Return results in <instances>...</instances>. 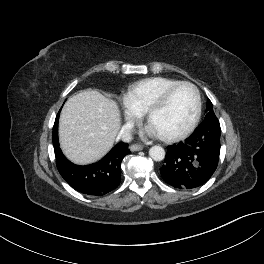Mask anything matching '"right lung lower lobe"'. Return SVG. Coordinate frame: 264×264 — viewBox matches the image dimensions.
Masks as SVG:
<instances>
[{
    "mask_svg": "<svg viewBox=\"0 0 264 264\" xmlns=\"http://www.w3.org/2000/svg\"><path fill=\"white\" fill-rule=\"evenodd\" d=\"M58 120L56 117L52 140L56 165L63 179L75 190L87 194L102 196L120 183L121 162L130 153L127 143H118L102 160L91 165H75L62 153L58 141Z\"/></svg>",
    "mask_w": 264,
    "mask_h": 264,
    "instance_id": "1",
    "label": "right lung lower lobe"
}]
</instances>
